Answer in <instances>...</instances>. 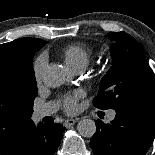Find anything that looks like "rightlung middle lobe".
Wrapping results in <instances>:
<instances>
[{
	"mask_svg": "<svg viewBox=\"0 0 155 155\" xmlns=\"http://www.w3.org/2000/svg\"><path fill=\"white\" fill-rule=\"evenodd\" d=\"M36 51L16 54L0 67V146L12 145L33 122L37 83L32 59Z\"/></svg>",
	"mask_w": 155,
	"mask_h": 155,
	"instance_id": "dd1d6c3e",
	"label": "right lung middle lobe"
}]
</instances>
